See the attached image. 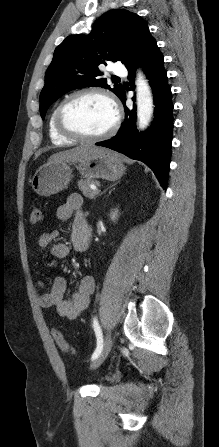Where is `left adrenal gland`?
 Returning a JSON list of instances; mask_svg holds the SVG:
<instances>
[{
	"mask_svg": "<svg viewBox=\"0 0 219 447\" xmlns=\"http://www.w3.org/2000/svg\"><path fill=\"white\" fill-rule=\"evenodd\" d=\"M117 183H115V184H113V185H111L109 188H111V187H113V186H115ZM104 192H106V190L104 191Z\"/></svg>",
	"mask_w": 219,
	"mask_h": 447,
	"instance_id": "left-adrenal-gland-1",
	"label": "left adrenal gland"
}]
</instances>
